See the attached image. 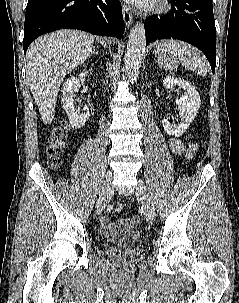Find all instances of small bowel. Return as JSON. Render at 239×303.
<instances>
[{"label":"small bowel","instance_id":"1","mask_svg":"<svg viewBox=\"0 0 239 303\" xmlns=\"http://www.w3.org/2000/svg\"><path fill=\"white\" fill-rule=\"evenodd\" d=\"M169 146L175 154H182L187 159L191 158L194 150L196 149V144H186L179 138H172L169 141ZM138 218L134 216L131 219L121 220L116 223L110 222L107 216H102L100 219L101 232L104 235H111L119 231H130L138 224L134 223V219ZM139 219V218H138Z\"/></svg>","mask_w":239,"mask_h":303}]
</instances>
